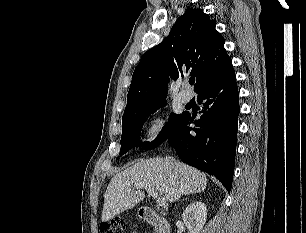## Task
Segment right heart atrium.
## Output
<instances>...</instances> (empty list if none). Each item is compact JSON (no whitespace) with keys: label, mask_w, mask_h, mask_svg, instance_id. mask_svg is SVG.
I'll return each instance as SVG.
<instances>
[{"label":"right heart atrium","mask_w":306,"mask_h":233,"mask_svg":"<svg viewBox=\"0 0 306 233\" xmlns=\"http://www.w3.org/2000/svg\"><path fill=\"white\" fill-rule=\"evenodd\" d=\"M168 125L165 115L159 114L152 117L146 128V140L155 143L164 135Z\"/></svg>","instance_id":"1"}]
</instances>
